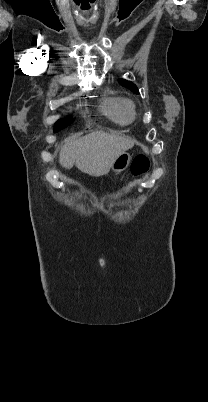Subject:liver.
I'll return each mask as SVG.
<instances>
[{
	"mask_svg": "<svg viewBox=\"0 0 208 402\" xmlns=\"http://www.w3.org/2000/svg\"><path fill=\"white\" fill-rule=\"evenodd\" d=\"M136 140L123 134H106V132H92L88 136L73 140L67 138L60 150L59 162L63 168H73L89 174V176H104L123 152L133 148Z\"/></svg>",
	"mask_w": 208,
	"mask_h": 402,
	"instance_id": "6515ba94",
	"label": "liver"
}]
</instances>
